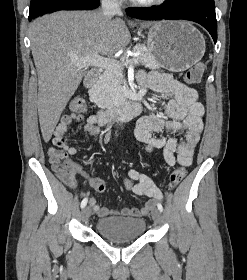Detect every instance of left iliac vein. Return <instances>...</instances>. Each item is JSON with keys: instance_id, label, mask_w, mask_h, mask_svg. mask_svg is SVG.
Segmentation results:
<instances>
[{"instance_id": "obj_1", "label": "left iliac vein", "mask_w": 247, "mask_h": 280, "mask_svg": "<svg viewBox=\"0 0 247 280\" xmlns=\"http://www.w3.org/2000/svg\"><path fill=\"white\" fill-rule=\"evenodd\" d=\"M152 218L153 220L157 223V224H161L162 223V214L161 211L157 208H154L152 210Z\"/></svg>"}]
</instances>
